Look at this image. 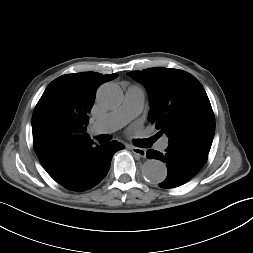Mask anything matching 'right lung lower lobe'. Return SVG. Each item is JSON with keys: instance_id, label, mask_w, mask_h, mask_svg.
<instances>
[{"instance_id": "1", "label": "right lung lower lobe", "mask_w": 253, "mask_h": 253, "mask_svg": "<svg viewBox=\"0 0 253 253\" xmlns=\"http://www.w3.org/2000/svg\"><path fill=\"white\" fill-rule=\"evenodd\" d=\"M123 148L124 146L117 141H112L92 149L80 167L78 179L64 187L72 191H86L93 188L108 173L113 154Z\"/></svg>"}]
</instances>
